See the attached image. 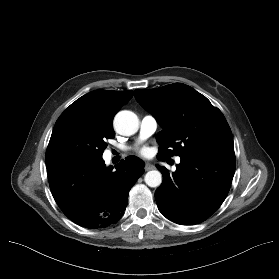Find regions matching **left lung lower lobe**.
Here are the masks:
<instances>
[{
	"instance_id": "left-lung-lower-lobe-1",
	"label": "left lung lower lobe",
	"mask_w": 279,
	"mask_h": 279,
	"mask_svg": "<svg viewBox=\"0 0 279 279\" xmlns=\"http://www.w3.org/2000/svg\"><path fill=\"white\" fill-rule=\"evenodd\" d=\"M180 158L172 174L157 166L163 182L155 198L159 211L167 219L194 225L210 217L225 200L235 172V155L194 153Z\"/></svg>"
}]
</instances>
